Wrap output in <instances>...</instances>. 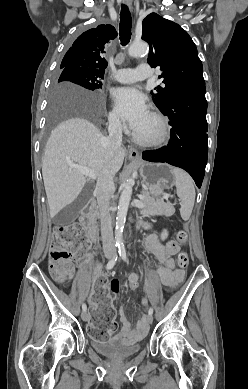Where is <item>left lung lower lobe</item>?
Returning <instances> with one entry per match:
<instances>
[{
	"label": "left lung lower lobe",
	"instance_id": "obj_1",
	"mask_svg": "<svg viewBox=\"0 0 248 389\" xmlns=\"http://www.w3.org/2000/svg\"><path fill=\"white\" fill-rule=\"evenodd\" d=\"M160 111L170 120L171 139L161 149L144 151L142 158L186 170L200 188L208 156L205 86L181 91Z\"/></svg>",
	"mask_w": 248,
	"mask_h": 389
}]
</instances>
